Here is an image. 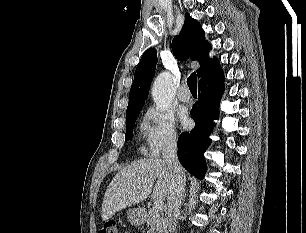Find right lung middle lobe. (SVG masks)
I'll return each instance as SVG.
<instances>
[{
	"instance_id": "1",
	"label": "right lung middle lobe",
	"mask_w": 306,
	"mask_h": 233,
	"mask_svg": "<svg viewBox=\"0 0 306 233\" xmlns=\"http://www.w3.org/2000/svg\"><path fill=\"white\" fill-rule=\"evenodd\" d=\"M140 111L135 112L131 115L126 116V134H125V141H128L131 139L132 132H133V127L135 125L137 116Z\"/></svg>"
}]
</instances>
